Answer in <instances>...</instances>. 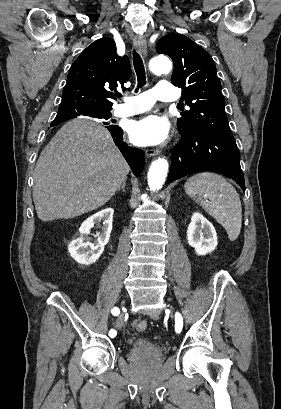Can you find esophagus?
Segmentation results:
<instances>
[{
	"label": "esophagus",
	"mask_w": 281,
	"mask_h": 409,
	"mask_svg": "<svg viewBox=\"0 0 281 409\" xmlns=\"http://www.w3.org/2000/svg\"><path fill=\"white\" fill-rule=\"evenodd\" d=\"M134 44L140 53H142L144 56L147 55V43L144 37L136 36L134 38ZM159 153H160V150H146V155L148 157H153L155 155H158Z\"/></svg>",
	"instance_id": "1"
}]
</instances>
